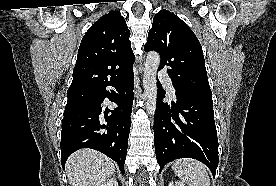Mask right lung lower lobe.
<instances>
[{
	"instance_id": "right-lung-lower-lobe-1",
	"label": "right lung lower lobe",
	"mask_w": 276,
	"mask_h": 186,
	"mask_svg": "<svg viewBox=\"0 0 276 186\" xmlns=\"http://www.w3.org/2000/svg\"><path fill=\"white\" fill-rule=\"evenodd\" d=\"M112 86L117 93L106 90ZM133 71L122 80L96 88L73 102H67L62 121L61 154L62 167L76 150L91 148L116 161L124 174L130 116L132 112ZM114 102L117 108L102 110L105 98Z\"/></svg>"
}]
</instances>
